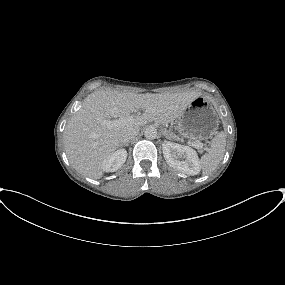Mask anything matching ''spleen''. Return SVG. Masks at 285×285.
<instances>
[{"instance_id": "spleen-1", "label": "spleen", "mask_w": 285, "mask_h": 285, "mask_svg": "<svg viewBox=\"0 0 285 285\" xmlns=\"http://www.w3.org/2000/svg\"><path fill=\"white\" fill-rule=\"evenodd\" d=\"M226 147V133L219 132L211 141L210 150L200 159V168L203 175L213 172L223 159Z\"/></svg>"}]
</instances>
